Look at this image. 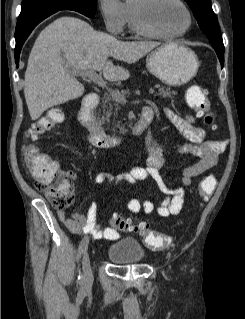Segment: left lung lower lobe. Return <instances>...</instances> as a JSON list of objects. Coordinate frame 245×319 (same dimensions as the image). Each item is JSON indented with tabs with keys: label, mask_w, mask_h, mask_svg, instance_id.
I'll return each mask as SVG.
<instances>
[{
	"label": "left lung lower lobe",
	"mask_w": 245,
	"mask_h": 319,
	"mask_svg": "<svg viewBox=\"0 0 245 319\" xmlns=\"http://www.w3.org/2000/svg\"><path fill=\"white\" fill-rule=\"evenodd\" d=\"M216 53H217V56L220 60V63H221V67L224 66V51H220L218 48H214Z\"/></svg>",
	"instance_id": "1"
}]
</instances>
